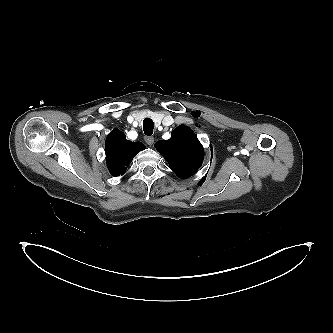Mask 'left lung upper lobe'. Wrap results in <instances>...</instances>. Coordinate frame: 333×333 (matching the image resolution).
<instances>
[{"instance_id": "obj_1", "label": "left lung upper lobe", "mask_w": 333, "mask_h": 333, "mask_svg": "<svg viewBox=\"0 0 333 333\" xmlns=\"http://www.w3.org/2000/svg\"><path fill=\"white\" fill-rule=\"evenodd\" d=\"M155 147L179 178L195 174L204 159V150L197 136L184 125L177 127L169 140L158 141Z\"/></svg>"}]
</instances>
